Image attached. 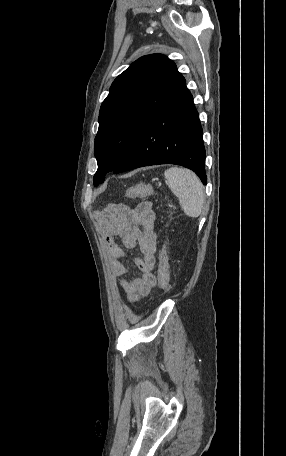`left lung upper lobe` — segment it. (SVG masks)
<instances>
[{"instance_id":"5c2ea615","label":"left lung upper lobe","mask_w":286,"mask_h":456,"mask_svg":"<svg viewBox=\"0 0 286 456\" xmlns=\"http://www.w3.org/2000/svg\"><path fill=\"white\" fill-rule=\"evenodd\" d=\"M184 83L175 63L162 54L139 58L114 80L98 117L94 186L108 172L116 173L141 131Z\"/></svg>"}]
</instances>
